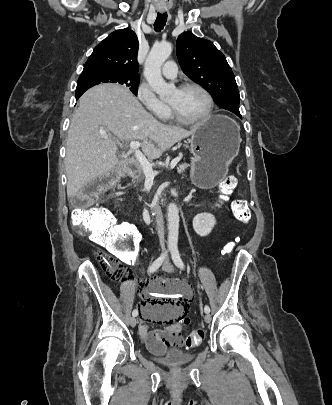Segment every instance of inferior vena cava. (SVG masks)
<instances>
[{
	"mask_svg": "<svg viewBox=\"0 0 332 405\" xmlns=\"http://www.w3.org/2000/svg\"><path fill=\"white\" fill-rule=\"evenodd\" d=\"M155 212H156V221H157V224H158L159 229H160V232H161L162 229H163V215H162V210H161V208L158 206V207L155 209Z\"/></svg>",
	"mask_w": 332,
	"mask_h": 405,
	"instance_id": "obj_1",
	"label": "inferior vena cava"
}]
</instances>
